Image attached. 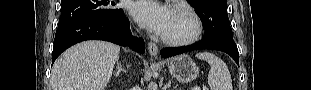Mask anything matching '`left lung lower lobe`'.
I'll return each mask as SVG.
<instances>
[{"mask_svg":"<svg viewBox=\"0 0 311 90\" xmlns=\"http://www.w3.org/2000/svg\"><path fill=\"white\" fill-rule=\"evenodd\" d=\"M198 49H211L223 51L229 54L239 65V53L235 42L233 40L223 38H203V40H201L200 42L190 46L178 48H164L161 50L160 54L163 58H167L184 52Z\"/></svg>","mask_w":311,"mask_h":90,"instance_id":"0a47b994","label":"left lung lower lobe"}]
</instances>
